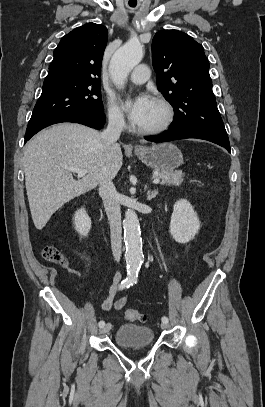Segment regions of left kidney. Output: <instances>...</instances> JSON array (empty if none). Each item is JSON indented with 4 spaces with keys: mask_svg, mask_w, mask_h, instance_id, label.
<instances>
[{
    "mask_svg": "<svg viewBox=\"0 0 265 407\" xmlns=\"http://www.w3.org/2000/svg\"><path fill=\"white\" fill-rule=\"evenodd\" d=\"M200 229V221L192 205L185 199L178 200L173 207L169 232L176 242L191 241Z\"/></svg>",
    "mask_w": 265,
    "mask_h": 407,
    "instance_id": "left-kidney-1",
    "label": "left kidney"
}]
</instances>
